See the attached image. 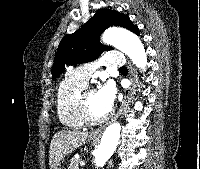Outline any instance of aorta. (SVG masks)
I'll return each mask as SVG.
<instances>
[{"instance_id": "aorta-1", "label": "aorta", "mask_w": 200, "mask_h": 169, "mask_svg": "<svg viewBox=\"0 0 200 169\" xmlns=\"http://www.w3.org/2000/svg\"><path fill=\"white\" fill-rule=\"evenodd\" d=\"M102 41L112 45L130 57L136 67L145 70L147 55L141 40L130 32L109 29L104 32ZM121 125L113 123L106 127L100 145L94 154V162L98 167H103L113 155L120 139Z\"/></svg>"}]
</instances>
